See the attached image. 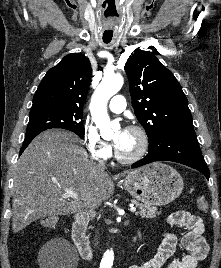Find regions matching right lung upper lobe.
<instances>
[{
  "label": "right lung upper lobe",
  "instance_id": "right-lung-upper-lobe-1",
  "mask_svg": "<svg viewBox=\"0 0 221 268\" xmlns=\"http://www.w3.org/2000/svg\"><path fill=\"white\" fill-rule=\"evenodd\" d=\"M91 72V64L85 55L71 53L65 56L42 79L30 112L50 109L82 111Z\"/></svg>",
  "mask_w": 221,
  "mask_h": 268
}]
</instances>
